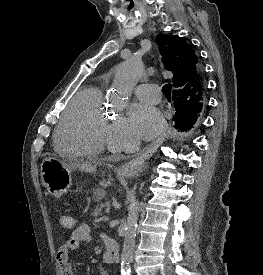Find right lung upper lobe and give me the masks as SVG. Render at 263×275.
<instances>
[{
	"mask_svg": "<svg viewBox=\"0 0 263 275\" xmlns=\"http://www.w3.org/2000/svg\"><path fill=\"white\" fill-rule=\"evenodd\" d=\"M156 41L165 68L173 73L174 91L185 92L184 108L201 113L206 106V91L203 79L196 76L200 63L193 47L177 35L159 34Z\"/></svg>",
	"mask_w": 263,
	"mask_h": 275,
	"instance_id": "right-lung-upper-lobe-1",
	"label": "right lung upper lobe"
}]
</instances>
